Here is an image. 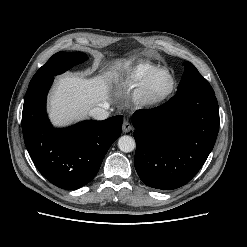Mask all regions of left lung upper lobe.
Masks as SVG:
<instances>
[{
	"label": "left lung upper lobe",
	"mask_w": 247,
	"mask_h": 247,
	"mask_svg": "<svg viewBox=\"0 0 247 247\" xmlns=\"http://www.w3.org/2000/svg\"><path fill=\"white\" fill-rule=\"evenodd\" d=\"M184 73L179 83L177 92L188 88L212 89L209 82L198 72L196 67L190 62H184Z\"/></svg>",
	"instance_id": "left-lung-upper-lobe-1"
}]
</instances>
